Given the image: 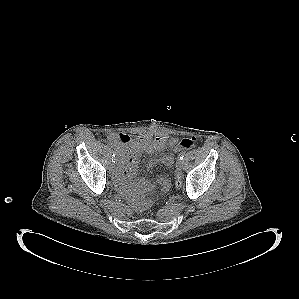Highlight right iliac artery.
I'll return each mask as SVG.
<instances>
[{
    "mask_svg": "<svg viewBox=\"0 0 299 299\" xmlns=\"http://www.w3.org/2000/svg\"><path fill=\"white\" fill-rule=\"evenodd\" d=\"M114 160V162H115V154L113 153V155H112V161Z\"/></svg>",
    "mask_w": 299,
    "mask_h": 299,
    "instance_id": "82829eb1",
    "label": "right iliac artery"
}]
</instances>
